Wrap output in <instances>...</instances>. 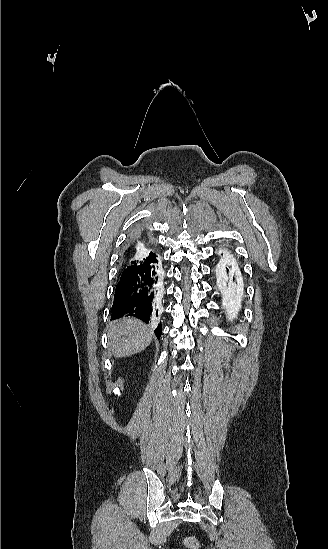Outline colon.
Returning a JSON list of instances; mask_svg holds the SVG:
<instances>
[{
  "mask_svg": "<svg viewBox=\"0 0 328 549\" xmlns=\"http://www.w3.org/2000/svg\"><path fill=\"white\" fill-rule=\"evenodd\" d=\"M187 544L193 546L195 544V541L193 539H188Z\"/></svg>",
  "mask_w": 328,
  "mask_h": 549,
  "instance_id": "5ec220e1",
  "label": "colon"
}]
</instances>
